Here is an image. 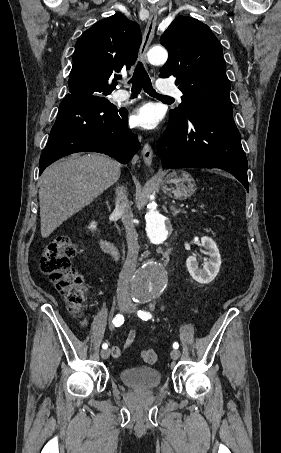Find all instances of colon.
Masks as SVG:
<instances>
[{
	"label": "colon",
	"instance_id": "5ec220e1",
	"mask_svg": "<svg viewBox=\"0 0 281 453\" xmlns=\"http://www.w3.org/2000/svg\"><path fill=\"white\" fill-rule=\"evenodd\" d=\"M79 253V249L68 238L50 240L43 245L41 269L51 275L70 308L74 312L84 313L87 310L86 285L70 264V259ZM140 356L145 363H158L160 360L158 353L152 349H142Z\"/></svg>",
	"mask_w": 281,
	"mask_h": 453
}]
</instances>
